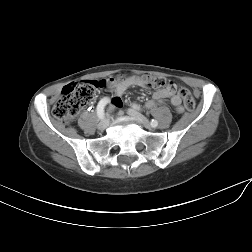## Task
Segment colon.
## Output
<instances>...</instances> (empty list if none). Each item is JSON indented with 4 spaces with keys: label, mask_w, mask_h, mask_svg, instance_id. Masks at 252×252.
<instances>
[{
    "label": "colon",
    "mask_w": 252,
    "mask_h": 252,
    "mask_svg": "<svg viewBox=\"0 0 252 252\" xmlns=\"http://www.w3.org/2000/svg\"><path fill=\"white\" fill-rule=\"evenodd\" d=\"M155 89L176 90V85L160 76H135ZM125 79V78H120ZM108 80H85L66 85L59 100L53 108V115L60 121L68 123L94 98L97 91L107 85ZM179 94L187 110L195 108V99L186 88H180ZM121 106V105H120ZM119 106V107H120Z\"/></svg>",
    "instance_id": "5ec220e1"
}]
</instances>
